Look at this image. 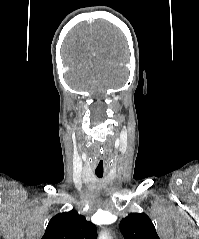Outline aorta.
<instances>
[{
    "label": "aorta",
    "instance_id": "obj_1",
    "mask_svg": "<svg viewBox=\"0 0 199 239\" xmlns=\"http://www.w3.org/2000/svg\"><path fill=\"white\" fill-rule=\"evenodd\" d=\"M98 239H110L109 236L107 235V233L105 232H102L100 234V236L98 237Z\"/></svg>",
    "mask_w": 199,
    "mask_h": 239
}]
</instances>
